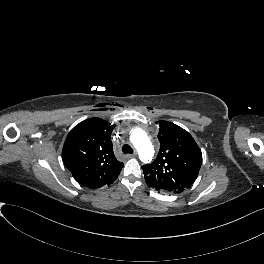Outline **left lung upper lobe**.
I'll return each instance as SVG.
<instances>
[{
    "label": "left lung upper lobe",
    "mask_w": 264,
    "mask_h": 264,
    "mask_svg": "<svg viewBox=\"0 0 264 264\" xmlns=\"http://www.w3.org/2000/svg\"><path fill=\"white\" fill-rule=\"evenodd\" d=\"M160 150L156 160L142 166L149 187L167 193H181L196 180L202 153L193 137L183 128L159 121Z\"/></svg>",
    "instance_id": "1"
}]
</instances>
